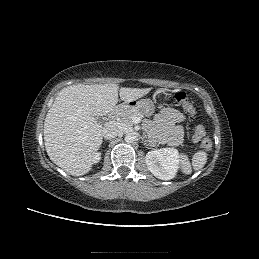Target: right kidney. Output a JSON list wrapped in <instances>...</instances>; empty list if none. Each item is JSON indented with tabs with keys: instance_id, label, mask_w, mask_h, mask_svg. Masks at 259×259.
<instances>
[{
	"instance_id": "right-kidney-1",
	"label": "right kidney",
	"mask_w": 259,
	"mask_h": 259,
	"mask_svg": "<svg viewBox=\"0 0 259 259\" xmlns=\"http://www.w3.org/2000/svg\"><path fill=\"white\" fill-rule=\"evenodd\" d=\"M101 159V153H96L93 158V163H98Z\"/></svg>"
}]
</instances>
